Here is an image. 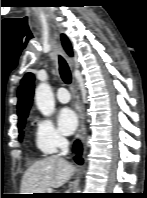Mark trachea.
<instances>
[{
    "label": "trachea",
    "mask_w": 147,
    "mask_h": 198,
    "mask_svg": "<svg viewBox=\"0 0 147 198\" xmlns=\"http://www.w3.org/2000/svg\"><path fill=\"white\" fill-rule=\"evenodd\" d=\"M59 71H60L62 80L66 84H70L71 83V72H70L67 62L61 56H59Z\"/></svg>",
    "instance_id": "3493384b"
}]
</instances>
